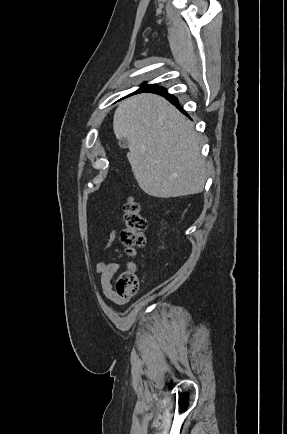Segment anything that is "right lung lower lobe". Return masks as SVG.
I'll return each instance as SVG.
<instances>
[{
  "label": "right lung lower lobe",
  "instance_id": "obj_1",
  "mask_svg": "<svg viewBox=\"0 0 287 434\" xmlns=\"http://www.w3.org/2000/svg\"><path fill=\"white\" fill-rule=\"evenodd\" d=\"M152 93H156V94H159V95L165 96L166 99H168L172 104H174L176 107H178V108L181 110V108H180L179 105H178V100H177V98L174 97V96H172V95H169V94L166 92V90H165L164 88L161 89L160 91H156V92H152Z\"/></svg>",
  "mask_w": 287,
  "mask_h": 434
}]
</instances>
